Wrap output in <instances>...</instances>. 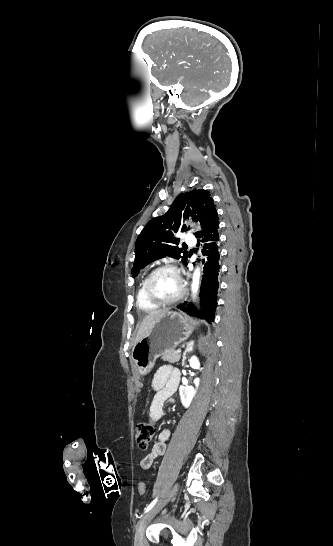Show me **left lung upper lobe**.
Instances as JSON below:
<instances>
[{
	"mask_svg": "<svg viewBox=\"0 0 333 546\" xmlns=\"http://www.w3.org/2000/svg\"><path fill=\"white\" fill-rule=\"evenodd\" d=\"M215 215L217 210L208 191L194 189L180 194L164 215L149 221L139 234L132 268L133 277L150 262L165 256L181 259L186 265L188 253L177 246L179 240L175 237L178 231L186 230L182 219L191 216L194 221L200 222L203 231ZM195 235L198 237L199 232Z\"/></svg>",
	"mask_w": 333,
	"mask_h": 546,
	"instance_id": "1",
	"label": "left lung upper lobe"
}]
</instances>
